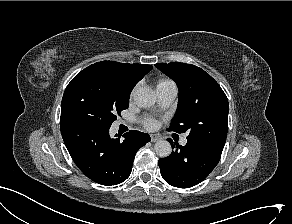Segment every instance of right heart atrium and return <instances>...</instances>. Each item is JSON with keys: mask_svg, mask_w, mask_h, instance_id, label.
Wrapping results in <instances>:
<instances>
[{"mask_svg": "<svg viewBox=\"0 0 292 224\" xmlns=\"http://www.w3.org/2000/svg\"><path fill=\"white\" fill-rule=\"evenodd\" d=\"M134 92H135V89L132 91L131 96H133Z\"/></svg>", "mask_w": 292, "mask_h": 224, "instance_id": "obj_1", "label": "right heart atrium"}]
</instances>
